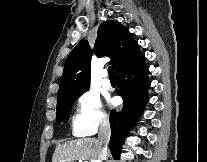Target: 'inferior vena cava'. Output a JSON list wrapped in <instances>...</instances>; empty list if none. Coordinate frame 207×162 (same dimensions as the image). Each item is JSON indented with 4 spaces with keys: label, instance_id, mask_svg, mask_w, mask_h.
I'll return each instance as SVG.
<instances>
[{
    "label": "inferior vena cava",
    "instance_id": "obj_1",
    "mask_svg": "<svg viewBox=\"0 0 207 162\" xmlns=\"http://www.w3.org/2000/svg\"><path fill=\"white\" fill-rule=\"evenodd\" d=\"M111 137V127L110 122L107 118H103L100 122L99 134L98 139L101 144V150L99 153V160L98 162H102V160L107 159V151H108V143Z\"/></svg>",
    "mask_w": 207,
    "mask_h": 162
}]
</instances>
